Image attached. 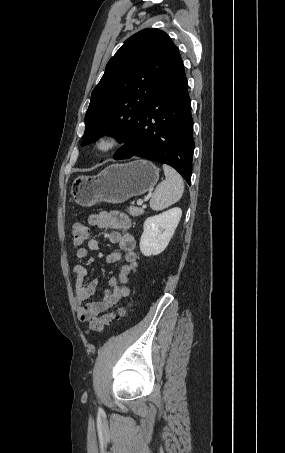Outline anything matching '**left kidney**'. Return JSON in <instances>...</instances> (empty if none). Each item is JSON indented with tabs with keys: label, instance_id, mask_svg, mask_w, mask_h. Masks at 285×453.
<instances>
[{
	"label": "left kidney",
	"instance_id": "1",
	"mask_svg": "<svg viewBox=\"0 0 285 453\" xmlns=\"http://www.w3.org/2000/svg\"><path fill=\"white\" fill-rule=\"evenodd\" d=\"M182 216L178 207L148 217L143 226L140 251L144 256L158 255L168 246Z\"/></svg>",
	"mask_w": 285,
	"mask_h": 453
}]
</instances>
